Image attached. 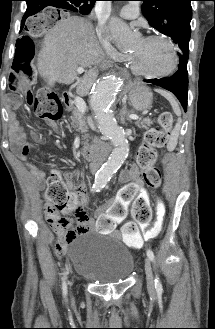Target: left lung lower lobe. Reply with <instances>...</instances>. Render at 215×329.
<instances>
[{
	"mask_svg": "<svg viewBox=\"0 0 215 329\" xmlns=\"http://www.w3.org/2000/svg\"><path fill=\"white\" fill-rule=\"evenodd\" d=\"M186 57L180 58L179 68L175 74L168 78L145 80L164 89L171 91L180 101L184 110L187 109V93H188V72Z\"/></svg>",
	"mask_w": 215,
	"mask_h": 329,
	"instance_id": "1",
	"label": "left lung lower lobe"
}]
</instances>
